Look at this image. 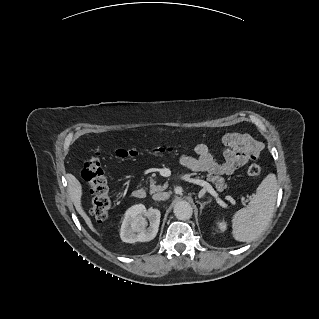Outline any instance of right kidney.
<instances>
[{"mask_svg":"<svg viewBox=\"0 0 319 319\" xmlns=\"http://www.w3.org/2000/svg\"><path fill=\"white\" fill-rule=\"evenodd\" d=\"M161 213L158 209L147 210L143 204L130 207L120 229V237L124 242H146L154 239L160 224ZM148 219L150 226L147 228Z\"/></svg>","mask_w":319,"mask_h":319,"instance_id":"1","label":"right kidney"}]
</instances>
